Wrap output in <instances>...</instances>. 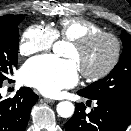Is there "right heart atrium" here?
Here are the masks:
<instances>
[{"label":"right heart atrium","mask_w":131,"mask_h":131,"mask_svg":"<svg viewBox=\"0 0 131 131\" xmlns=\"http://www.w3.org/2000/svg\"><path fill=\"white\" fill-rule=\"evenodd\" d=\"M56 40V35L52 28L40 24H33L27 27L19 44L21 55H32L38 52L49 50Z\"/></svg>","instance_id":"1"}]
</instances>
